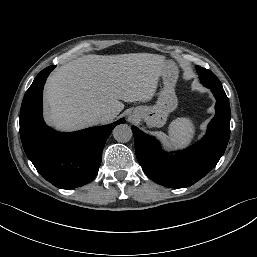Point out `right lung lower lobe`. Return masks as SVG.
<instances>
[{"label": "right lung lower lobe", "instance_id": "right-lung-lower-lobe-1", "mask_svg": "<svg viewBox=\"0 0 257 257\" xmlns=\"http://www.w3.org/2000/svg\"><path fill=\"white\" fill-rule=\"evenodd\" d=\"M54 65L42 70L26 91L21 105L20 135L24 151L37 171L54 186L72 189L91 182L101 164L102 151L112 124L73 133H59L42 118V94Z\"/></svg>", "mask_w": 257, "mask_h": 257}]
</instances>
